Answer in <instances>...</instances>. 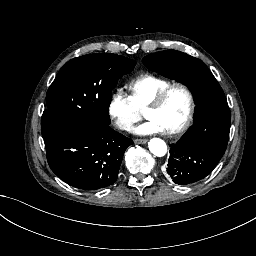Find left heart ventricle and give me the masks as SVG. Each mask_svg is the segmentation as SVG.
Instances as JSON below:
<instances>
[{"label":"left heart ventricle","mask_w":256,"mask_h":256,"mask_svg":"<svg viewBox=\"0 0 256 256\" xmlns=\"http://www.w3.org/2000/svg\"><path fill=\"white\" fill-rule=\"evenodd\" d=\"M189 102L186 94L178 87L170 92L161 108L151 111V117H159L166 122L169 130L178 125L188 112Z\"/></svg>","instance_id":"1"}]
</instances>
